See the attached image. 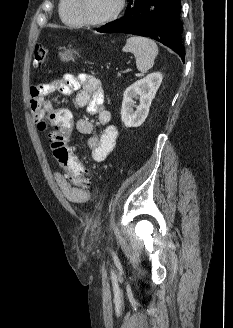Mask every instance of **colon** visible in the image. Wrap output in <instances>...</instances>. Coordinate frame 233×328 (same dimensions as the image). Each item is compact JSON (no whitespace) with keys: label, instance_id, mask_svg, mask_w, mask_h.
I'll return each instance as SVG.
<instances>
[{"label":"colon","instance_id":"colon-1","mask_svg":"<svg viewBox=\"0 0 233 328\" xmlns=\"http://www.w3.org/2000/svg\"><path fill=\"white\" fill-rule=\"evenodd\" d=\"M48 57V50L41 44L34 49L33 65L42 66ZM74 120L67 109H55L39 123V128H50L49 141L53 155L57 162L65 167L71 174V180L77 185L86 183V171L83 165L74 155L68 144L69 135L72 132Z\"/></svg>","mask_w":233,"mask_h":328}]
</instances>
